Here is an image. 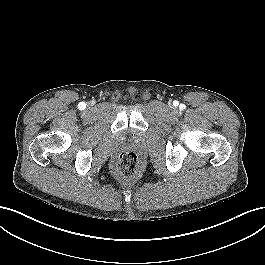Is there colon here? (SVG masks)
<instances>
[{"label": "colon", "instance_id": "obj_1", "mask_svg": "<svg viewBox=\"0 0 265 265\" xmlns=\"http://www.w3.org/2000/svg\"><path fill=\"white\" fill-rule=\"evenodd\" d=\"M138 169V157L132 151L120 153L113 164V172L120 178L132 177L138 172Z\"/></svg>", "mask_w": 265, "mask_h": 265}]
</instances>
